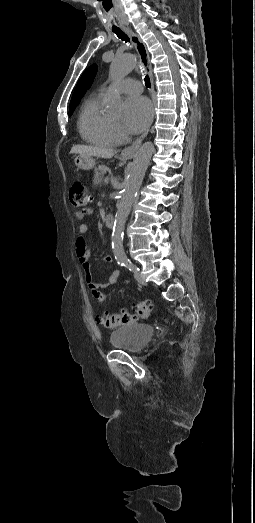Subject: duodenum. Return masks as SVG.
<instances>
[{"label": "duodenum", "mask_w": 255, "mask_h": 523, "mask_svg": "<svg viewBox=\"0 0 255 523\" xmlns=\"http://www.w3.org/2000/svg\"><path fill=\"white\" fill-rule=\"evenodd\" d=\"M105 225L108 228H112L114 226V216L112 214H107L105 217Z\"/></svg>", "instance_id": "duodenum-1"}]
</instances>
